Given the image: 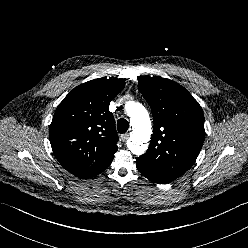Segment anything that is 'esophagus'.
I'll list each match as a JSON object with an SVG mask.
<instances>
[{
	"label": "esophagus",
	"mask_w": 248,
	"mask_h": 248,
	"mask_svg": "<svg viewBox=\"0 0 248 248\" xmlns=\"http://www.w3.org/2000/svg\"><path fill=\"white\" fill-rule=\"evenodd\" d=\"M128 137H129V134H128V133H125V134H122V135L120 136V139H121L122 141H126Z\"/></svg>",
	"instance_id": "34e87169"
}]
</instances>
